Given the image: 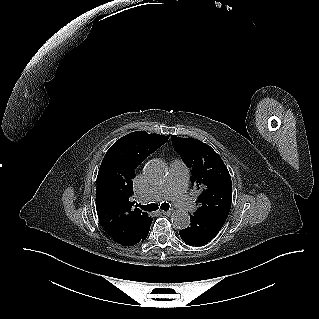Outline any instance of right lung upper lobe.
Instances as JSON below:
<instances>
[{"label":"right lung upper lobe","mask_w":319,"mask_h":319,"mask_svg":"<svg viewBox=\"0 0 319 319\" xmlns=\"http://www.w3.org/2000/svg\"><path fill=\"white\" fill-rule=\"evenodd\" d=\"M169 136L129 133L106 152L97 176L96 209L101 224L117 243L130 246L146 222V212L132 208L135 169L151 153L165 144Z\"/></svg>","instance_id":"cb5924a9"}]
</instances>
